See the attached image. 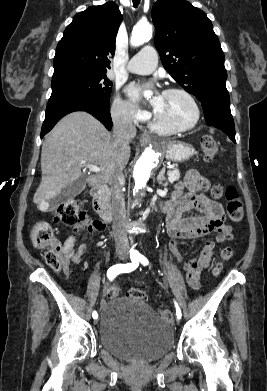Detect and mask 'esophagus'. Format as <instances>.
<instances>
[{
  "label": "esophagus",
  "mask_w": 267,
  "mask_h": 391,
  "mask_svg": "<svg viewBox=\"0 0 267 391\" xmlns=\"http://www.w3.org/2000/svg\"><path fill=\"white\" fill-rule=\"evenodd\" d=\"M150 141H151V139H150V136H149V135H147V134H142V135L140 136V142H141L142 145H147V144L150 143Z\"/></svg>",
  "instance_id": "esophagus-1"
}]
</instances>
